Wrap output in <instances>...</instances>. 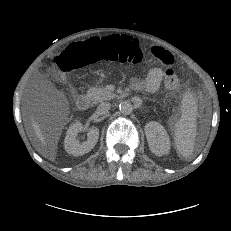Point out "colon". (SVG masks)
Returning a JSON list of instances; mask_svg holds the SVG:
<instances>
[{
    "label": "colon",
    "instance_id": "1",
    "mask_svg": "<svg viewBox=\"0 0 231 231\" xmlns=\"http://www.w3.org/2000/svg\"><path fill=\"white\" fill-rule=\"evenodd\" d=\"M102 60L136 65L143 61V52L138 41L128 35L93 38L68 46L62 54L52 60V67L68 74ZM164 83L169 90L178 89L180 78L174 69L168 68L165 71Z\"/></svg>",
    "mask_w": 231,
    "mask_h": 231
}]
</instances>
